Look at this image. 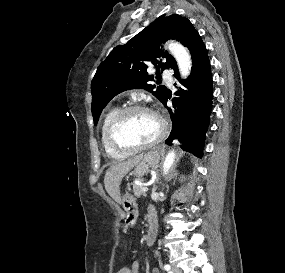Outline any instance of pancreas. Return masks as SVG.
<instances>
[{"instance_id": "obj_1", "label": "pancreas", "mask_w": 285, "mask_h": 273, "mask_svg": "<svg viewBox=\"0 0 285 273\" xmlns=\"http://www.w3.org/2000/svg\"><path fill=\"white\" fill-rule=\"evenodd\" d=\"M141 181H143V180H141ZM142 187H143L142 185H134L133 186V192H134V195L136 197H140V196L144 195V192L141 190Z\"/></svg>"}]
</instances>
